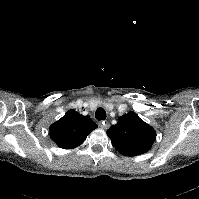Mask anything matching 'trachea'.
Segmentation results:
<instances>
[{"label": "trachea", "mask_w": 199, "mask_h": 199, "mask_svg": "<svg viewBox=\"0 0 199 199\" xmlns=\"http://www.w3.org/2000/svg\"><path fill=\"white\" fill-rule=\"evenodd\" d=\"M95 117L97 120H105L106 119V111L99 107L95 112Z\"/></svg>", "instance_id": "trachea-1"}]
</instances>
